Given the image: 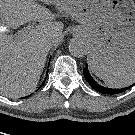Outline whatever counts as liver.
<instances>
[{
  "instance_id": "6515ba94",
  "label": "liver",
  "mask_w": 135,
  "mask_h": 135,
  "mask_svg": "<svg viewBox=\"0 0 135 135\" xmlns=\"http://www.w3.org/2000/svg\"><path fill=\"white\" fill-rule=\"evenodd\" d=\"M0 14V25L6 28L39 22L22 37L0 30V94L20 98L36 89L47 54L62 37L63 23L56 21L55 15L35 0H0Z\"/></svg>"
}]
</instances>
